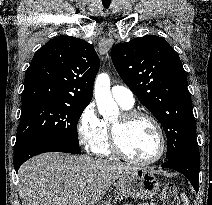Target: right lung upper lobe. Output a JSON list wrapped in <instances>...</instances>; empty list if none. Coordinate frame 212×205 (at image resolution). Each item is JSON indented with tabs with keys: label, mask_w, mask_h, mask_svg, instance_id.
Instances as JSON below:
<instances>
[{
	"label": "right lung upper lobe",
	"mask_w": 212,
	"mask_h": 205,
	"mask_svg": "<svg viewBox=\"0 0 212 205\" xmlns=\"http://www.w3.org/2000/svg\"><path fill=\"white\" fill-rule=\"evenodd\" d=\"M99 64L93 45L72 36L55 37L35 52L21 101L89 104Z\"/></svg>",
	"instance_id": "obj_1"
}]
</instances>
